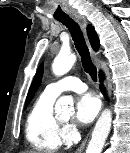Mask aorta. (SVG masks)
Masks as SVG:
<instances>
[{
	"instance_id": "1",
	"label": "aorta",
	"mask_w": 130,
	"mask_h": 153,
	"mask_svg": "<svg viewBox=\"0 0 130 153\" xmlns=\"http://www.w3.org/2000/svg\"><path fill=\"white\" fill-rule=\"evenodd\" d=\"M76 56L60 52L53 61L52 69L55 75L62 76L66 74L74 65ZM73 99L69 96L60 97L55 105V110L59 112L72 113L74 110ZM112 122V112L110 109H105L93 130L91 141L88 144L86 153H101L106 138L110 132Z\"/></svg>"
}]
</instances>
